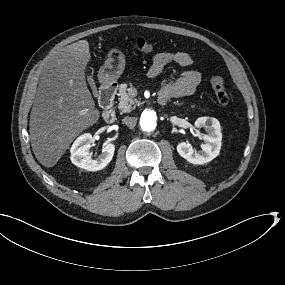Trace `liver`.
I'll list each match as a JSON object with an SVG mask.
<instances>
[{
    "label": "liver",
    "instance_id": "obj_1",
    "mask_svg": "<svg viewBox=\"0 0 285 285\" xmlns=\"http://www.w3.org/2000/svg\"><path fill=\"white\" fill-rule=\"evenodd\" d=\"M89 43L79 40L49 57L30 114L32 150L45 167H53L73 140L100 117L86 83Z\"/></svg>",
    "mask_w": 285,
    "mask_h": 285
}]
</instances>
